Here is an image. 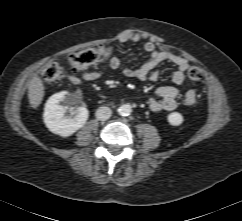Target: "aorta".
I'll use <instances>...</instances> for the list:
<instances>
[{
  "mask_svg": "<svg viewBox=\"0 0 242 221\" xmlns=\"http://www.w3.org/2000/svg\"><path fill=\"white\" fill-rule=\"evenodd\" d=\"M117 112L122 116H128L132 112V107L130 104H123L118 107Z\"/></svg>",
  "mask_w": 242,
  "mask_h": 221,
  "instance_id": "1",
  "label": "aorta"
}]
</instances>
